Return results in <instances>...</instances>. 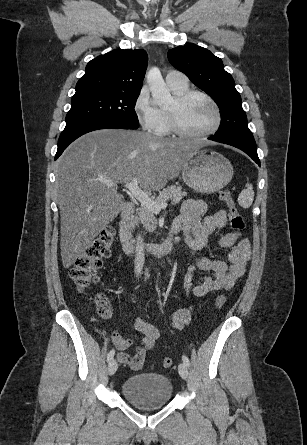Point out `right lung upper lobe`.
<instances>
[{
  "mask_svg": "<svg viewBox=\"0 0 307 445\" xmlns=\"http://www.w3.org/2000/svg\"><path fill=\"white\" fill-rule=\"evenodd\" d=\"M147 53L142 49L113 50L91 60L85 75L77 82V95L139 94L147 68Z\"/></svg>",
  "mask_w": 307,
  "mask_h": 445,
  "instance_id": "1",
  "label": "right lung upper lobe"
}]
</instances>
